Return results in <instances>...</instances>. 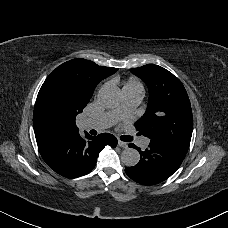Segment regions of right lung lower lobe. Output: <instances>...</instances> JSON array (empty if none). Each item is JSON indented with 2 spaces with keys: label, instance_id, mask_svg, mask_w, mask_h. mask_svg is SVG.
I'll return each instance as SVG.
<instances>
[{
  "label": "right lung lower lobe",
  "instance_id": "98d812e1",
  "mask_svg": "<svg viewBox=\"0 0 228 228\" xmlns=\"http://www.w3.org/2000/svg\"><path fill=\"white\" fill-rule=\"evenodd\" d=\"M115 148L117 139L109 133L97 137L85 132L63 135L38 145L43 160L56 173L75 178L89 173L96 164L98 153L105 147Z\"/></svg>",
  "mask_w": 228,
  "mask_h": 228
}]
</instances>
